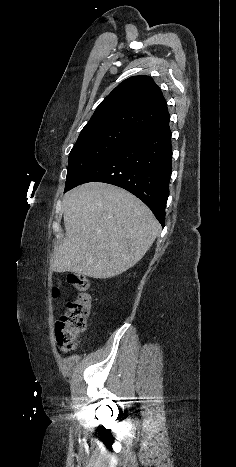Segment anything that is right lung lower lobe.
<instances>
[{
    "label": "right lung lower lobe",
    "instance_id": "98d812e1",
    "mask_svg": "<svg viewBox=\"0 0 236 467\" xmlns=\"http://www.w3.org/2000/svg\"><path fill=\"white\" fill-rule=\"evenodd\" d=\"M170 118L128 139L89 167L70 186L99 181L140 198L164 226L172 170Z\"/></svg>",
    "mask_w": 236,
    "mask_h": 467
}]
</instances>
